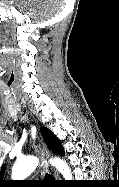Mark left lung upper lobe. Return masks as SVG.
Here are the masks:
<instances>
[{"instance_id":"1","label":"left lung upper lobe","mask_w":119,"mask_h":187,"mask_svg":"<svg viewBox=\"0 0 119 187\" xmlns=\"http://www.w3.org/2000/svg\"><path fill=\"white\" fill-rule=\"evenodd\" d=\"M41 133L43 135L46 145L52 152L59 155H64V149L62 147L60 140L49 129L42 127ZM5 169L6 165H4L0 171V187H4L5 184L11 183L10 181L2 180L5 173Z\"/></svg>"}]
</instances>
